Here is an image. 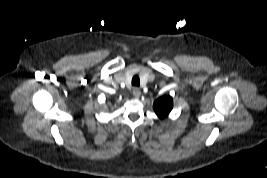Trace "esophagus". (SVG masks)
<instances>
[{"instance_id": "1", "label": "esophagus", "mask_w": 267, "mask_h": 178, "mask_svg": "<svg viewBox=\"0 0 267 178\" xmlns=\"http://www.w3.org/2000/svg\"><path fill=\"white\" fill-rule=\"evenodd\" d=\"M132 94L135 98H139L141 96V91L139 88H134Z\"/></svg>"}]
</instances>
